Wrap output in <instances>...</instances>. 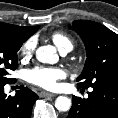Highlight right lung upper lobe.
I'll return each instance as SVG.
<instances>
[{"mask_svg": "<svg viewBox=\"0 0 118 118\" xmlns=\"http://www.w3.org/2000/svg\"><path fill=\"white\" fill-rule=\"evenodd\" d=\"M0 27L10 29V30L26 37L27 39L30 36H32L39 29V26L23 27V26H16V25H11V24H7V23H0Z\"/></svg>", "mask_w": 118, "mask_h": 118, "instance_id": "obj_1", "label": "right lung upper lobe"}]
</instances>
